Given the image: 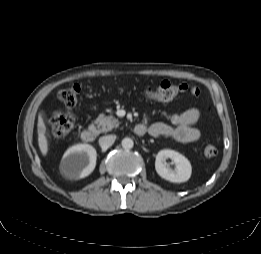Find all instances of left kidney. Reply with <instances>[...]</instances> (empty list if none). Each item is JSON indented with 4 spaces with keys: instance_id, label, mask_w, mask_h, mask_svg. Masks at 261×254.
Returning <instances> with one entry per match:
<instances>
[{
    "instance_id": "1",
    "label": "left kidney",
    "mask_w": 261,
    "mask_h": 254,
    "mask_svg": "<svg viewBox=\"0 0 261 254\" xmlns=\"http://www.w3.org/2000/svg\"><path fill=\"white\" fill-rule=\"evenodd\" d=\"M167 158H170L174 161V169L168 168L163 163V160ZM155 169L161 178L173 183L186 182L189 180L192 173V167L189 160L179 152L169 149L161 150L157 154Z\"/></svg>"
}]
</instances>
